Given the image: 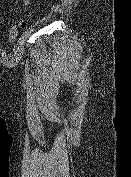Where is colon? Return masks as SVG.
<instances>
[{
  "label": "colon",
  "instance_id": "colon-1",
  "mask_svg": "<svg viewBox=\"0 0 131 177\" xmlns=\"http://www.w3.org/2000/svg\"><path fill=\"white\" fill-rule=\"evenodd\" d=\"M22 3L24 4V6H27L29 1L22 0ZM27 15H28L27 12H25V16H27ZM24 25H25L24 18H20L17 21H15L7 31L6 41L8 43L14 42L16 40V38L18 37L20 30L23 28Z\"/></svg>",
  "mask_w": 131,
  "mask_h": 177
}]
</instances>
